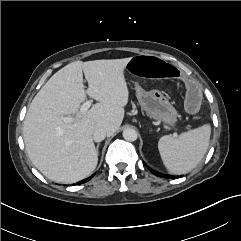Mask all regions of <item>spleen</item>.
<instances>
[{
    "label": "spleen",
    "instance_id": "1",
    "mask_svg": "<svg viewBox=\"0 0 241 241\" xmlns=\"http://www.w3.org/2000/svg\"><path fill=\"white\" fill-rule=\"evenodd\" d=\"M211 127L205 124L181 133L177 138L162 136L158 150L170 173L183 174L194 169L204 157L210 141Z\"/></svg>",
    "mask_w": 241,
    "mask_h": 241
}]
</instances>
